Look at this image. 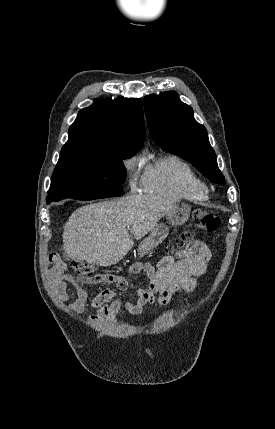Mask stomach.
I'll return each mask as SVG.
<instances>
[{
    "instance_id": "obj_1",
    "label": "stomach",
    "mask_w": 275,
    "mask_h": 429,
    "mask_svg": "<svg viewBox=\"0 0 275 429\" xmlns=\"http://www.w3.org/2000/svg\"><path fill=\"white\" fill-rule=\"evenodd\" d=\"M190 207L185 203H177L175 207L166 214L170 224L179 226L187 222L190 216ZM169 234V227L165 223L157 224L150 235L142 240L138 246V253L142 256L158 246Z\"/></svg>"
}]
</instances>
